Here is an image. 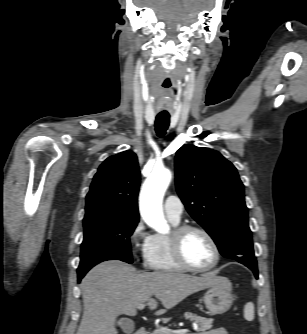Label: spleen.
I'll list each match as a JSON object with an SVG mask.
<instances>
[{
  "instance_id": "3e777b00",
  "label": "spleen",
  "mask_w": 307,
  "mask_h": 334,
  "mask_svg": "<svg viewBox=\"0 0 307 334\" xmlns=\"http://www.w3.org/2000/svg\"><path fill=\"white\" fill-rule=\"evenodd\" d=\"M244 317L248 321H252L254 319V304L252 302L246 303L244 307Z\"/></svg>"
}]
</instances>
